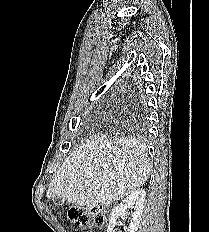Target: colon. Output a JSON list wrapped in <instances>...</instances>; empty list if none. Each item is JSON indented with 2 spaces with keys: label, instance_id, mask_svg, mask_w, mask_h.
<instances>
[{
  "label": "colon",
  "instance_id": "5ec220e1",
  "mask_svg": "<svg viewBox=\"0 0 209 232\" xmlns=\"http://www.w3.org/2000/svg\"><path fill=\"white\" fill-rule=\"evenodd\" d=\"M68 217L80 229L88 230L92 225H103L106 220V212L103 207L72 208L68 212Z\"/></svg>",
  "mask_w": 209,
  "mask_h": 232
}]
</instances>
